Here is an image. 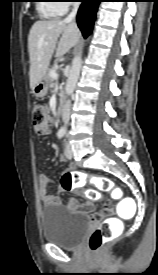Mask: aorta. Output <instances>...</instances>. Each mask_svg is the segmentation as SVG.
Here are the masks:
<instances>
[{"mask_svg": "<svg viewBox=\"0 0 158 275\" xmlns=\"http://www.w3.org/2000/svg\"><path fill=\"white\" fill-rule=\"evenodd\" d=\"M82 66V56L81 53H79L77 56L74 57L72 61V66L69 71V75L66 82L65 92L67 95H71L75 89V86L77 84L80 70ZM64 130V128H62Z\"/></svg>", "mask_w": 158, "mask_h": 275, "instance_id": "obj_1", "label": "aorta"}]
</instances>
